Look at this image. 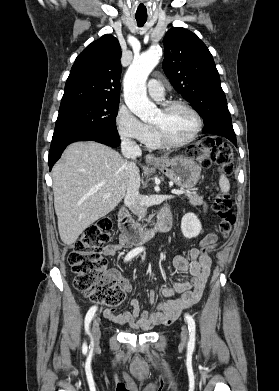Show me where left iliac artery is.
I'll use <instances>...</instances> for the list:
<instances>
[{
    "instance_id": "obj_1",
    "label": "left iliac artery",
    "mask_w": 279,
    "mask_h": 391,
    "mask_svg": "<svg viewBox=\"0 0 279 391\" xmlns=\"http://www.w3.org/2000/svg\"><path fill=\"white\" fill-rule=\"evenodd\" d=\"M185 319L188 323V329H189V342H188V348L194 349L195 346V321L189 314H185Z\"/></svg>"
}]
</instances>
